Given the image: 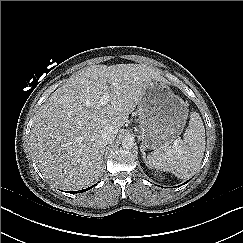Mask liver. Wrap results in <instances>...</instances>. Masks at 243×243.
Returning a JSON list of instances; mask_svg holds the SVG:
<instances>
[{"label": "liver", "mask_w": 243, "mask_h": 243, "mask_svg": "<svg viewBox=\"0 0 243 243\" xmlns=\"http://www.w3.org/2000/svg\"><path fill=\"white\" fill-rule=\"evenodd\" d=\"M153 80L167 83L144 64L92 65L70 77L41 106L31 129L30 147L42 175L64 190L93 184L102 171V132L128 121ZM105 91L109 103L101 106Z\"/></svg>", "instance_id": "liver-1"}]
</instances>
